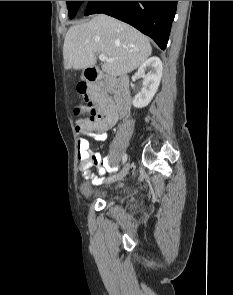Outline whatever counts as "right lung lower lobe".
<instances>
[{
	"label": "right lung lower lobe",
	"instance_id": "right-lung-lower-lobe-1",
	"mask_svg": "<svg viewBox=\"0 0 233 295\" xmlns=\"http://www.w3.org/2000/svg\"><path fill=\"white\" fill-rule=\"evenodd\" d=\"M177 1H89L85 15L105 13L150 36L165 49Z\"/></svg>",
	"mask_w": 233,
	"mask_h": 295
}]
</instances>
